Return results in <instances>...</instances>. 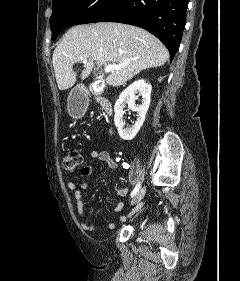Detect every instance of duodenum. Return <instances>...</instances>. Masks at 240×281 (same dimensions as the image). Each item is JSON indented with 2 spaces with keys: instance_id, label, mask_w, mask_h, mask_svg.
<instances>
[{
  "instance_id": "obj_1",
  "label": "duodenum",
  "mask_w": 240,
  "mask_h": 281,
  "mask_svg": "<svg viewBox=\"0 0 240 281\" xmlns=\"http://www.w3.org/2000/svg\"><path fill=\"white\" fill-rule=\"evenodd\" d=\"M98 102L107 113H111V104L109 103V101L107 99L99 98ZM81 103L85 104L86 100H83V102H81Z\"/></svg>"
}]
</instances>
